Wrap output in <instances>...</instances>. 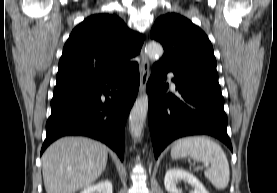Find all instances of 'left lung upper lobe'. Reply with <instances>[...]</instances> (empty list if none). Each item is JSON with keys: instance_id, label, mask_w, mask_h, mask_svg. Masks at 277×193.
<instances>
[{"instance_id": "5c2ea615", "label": "left lung upper lobe", "mask_w": 277, "mask_h": 193, "mask_svg": "<svg viewBox=\"0 0 277 193\" xmlns=\"http://www.w3.org/2000/svg\"><path fill=\"white\" fill-rule=\"evenodd\" d=\"M159 41L164 55L155 64L174 75L216 77V58L206 34L187 18L176 13L160 16L150 33Z\"/></svg>"}]
</instances>
